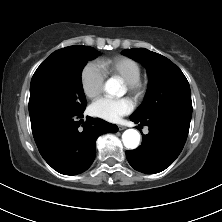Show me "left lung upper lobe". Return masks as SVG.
<instances>
[{
  "label": "left lung upper lobe",
  "mask_w": 222,
  "mask_h": 222,
  "mask_svg": "<svg viewBox=\"0 0 222 222\" xmlns=\"http://www.w3.org/2000/svg\"><path fill=\"white\" fill-rule=\"evenodd\" d=\"M122 53L142 63L149 75L145 99L132 116L150 117L167 111H177L191 119L190 86L182 71L173 62L145 48L126 49Z\"/></svg>",
  "instance_id": "5c2ea615"
}]
</instances>
